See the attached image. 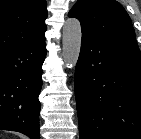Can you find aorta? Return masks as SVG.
<instances>
[{
	"mask_svg": "<svg viewBox=\"0 0 141 139\" xmlns=\"http://www.w3.org/2000/svg\"><path fill=\"white\" fill-rule=\"evenodd\" d=\"M81 24L76 18H68L63 27L62 55L65 66L73 68L79 58L81 49Z\"/></svg>",
	"mask_w": 141,
	"mask_h": 139,
	"instance_id": "1",
	"label": "aorta"
}]
</instances>
